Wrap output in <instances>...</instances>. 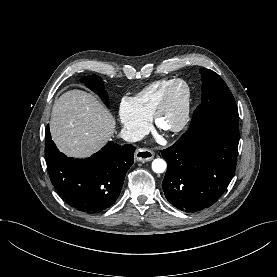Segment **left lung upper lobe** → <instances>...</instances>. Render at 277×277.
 I'll return each instance as SVG.
<instances>
[{"label": "left lung upper lobe", "instance_id": "1", "mask_svg": "<svg viewBox=\"0 0 277 277\" xmlns=\"http://www.w3.org/2000/svg\"><path fill=\"white\" fill-rule=\"evenodd\" d=\"M202 76V101L196 108L189 129L211 120H226L238 123L239 115L234 97L214 71L200 70Z\"/></svg>", "mask_w": 277, "mask_h": 277}]
</instances>
